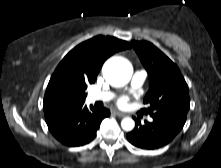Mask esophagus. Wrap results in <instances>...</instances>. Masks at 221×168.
Instances as JSON below:
<instances>
[{
    "instance_id": "esophagus-1",
    "label": "esophagus",
    "mask_w": 221,
    "mask_h": 168,
    "mask_svg": "<svg viewBox=\"0 0 221 168\" xmlns=\"http://www.w3.org/2000/svg\"><path fill=\"white\" fill-rule=\"evenodd\" d=\"M115 116H117V117H125V114L124 113H122V112H119V111H113L112 112Z\"/></svg>"
}]
</instances>
